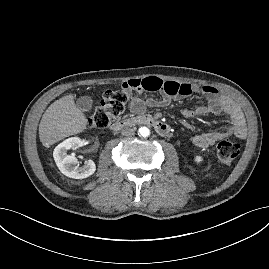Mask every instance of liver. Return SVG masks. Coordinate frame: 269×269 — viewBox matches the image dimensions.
<instances>
[{
    "label": "liver",
    "instance_id": "6515ba94",
    "mask_svg": "<svg viewBox=\"0 0 269 269\" xmlns=\"http://www.w3.org/2000/svg\"><path fill=\"white\" fill-rule=\"evenodd\" d=\"M87 119L78 109L72 94L52 103L42 116L39 124V138L44 147L78 134L86 129Z\"/></svg>",
    "mask_w": 269,
    "mask_h": 269
}]
</instances>
